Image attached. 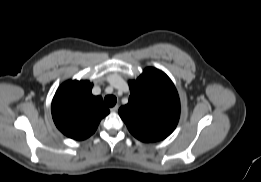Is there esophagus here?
I'll return each mask as SVG.
<instances>
[{
	"label": "esophagus",
	"mask_w": 261,
	"mask_h": 182,
	"mask_svg": "<svg viewBox=\"0 0 261 182\" xmlns=\"http://www.w3.org/2000/svg\"><path fill=\"white\" fill-rule=\"evenodd\" d=\"M119 106L118 105H115L114 107H112L110 109L111 112H116L118 110Z\"/></svg>",
	"instance_id": "34e87169"
}]
</instances>
